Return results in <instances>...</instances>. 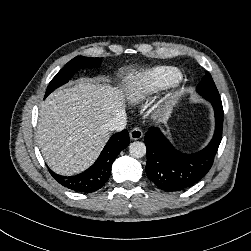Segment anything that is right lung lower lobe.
Wrapping results in <instances>:
<instances>
[{
  "instance_id": "98d812e1",
  "label": "right lung lower lobe",
  "mask_w": 251,
  "mask_h": 251,
  "mask_svg": "<svg viewBox=\"0 0 251 251\" xmlns=\"http://www.w3.org/2000/svg\"><path fill=\"white\" fill-rule=\"evenodd\" d=\"M129 133L123 130L114 134L95 163L76 176H62L49 169L53 178L64 187L81 193H92L102 188L109 179L111 166L117 155L129 145Z\"/></svg>"
}]
</instances>
